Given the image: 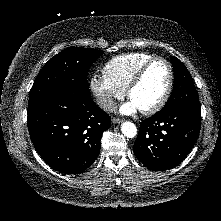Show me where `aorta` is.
<instances>
[{"mask_svg":"<svg viewBox=\"0 0 221 221\" xmlns=\"http://www.w3.org/2000/svg\"><path fill=\"white\" fill-rule=\"evenodd\" d=\"M121 131L127 138H134L137 134V128L134 123L126 121L121 125Z\"/></svg>","mask_w":221,"mask_h":221,"instance_id":"762f6f07","label":"aorta"}]
</instances>
